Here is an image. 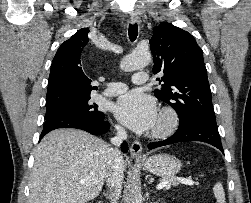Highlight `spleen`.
<instances>
[{
	"label": "spleen",
	"mask_w": 251,
	"mask_h": 203,
	"mask_svg": "<svg viewBox=\"0 0 251 203\" xmlns=\"http://www.w3.org/2000/svg\"><path fill=\"white\" fill-rule=\"evenodd\" d=\"M213 192L218 203H225V193L221 183L214 185Z\"/></svg>",
	"instance_id": "3e777b00"
}]
</instances>
